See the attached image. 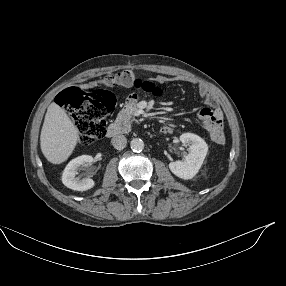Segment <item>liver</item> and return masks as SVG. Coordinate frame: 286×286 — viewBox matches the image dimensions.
I'll return each mask as SVG.
<instances>
[{"label": "liver", "instance_id": "1", "mask_svg": "<svg viewBox=\"0 0 286 286\" xmlns=\"http://www.w3.org/2000/svg\"><path fill=\"white\" fill-rule=\"evenodd\" d=\"M79 131L65 110L55 102L47 109L40 135L41 151L52 164H61L73 153Z\"/></svg>", "mask_w": 286, "mask_h": 286}]
</instances>
